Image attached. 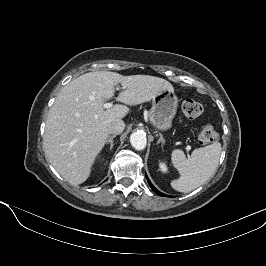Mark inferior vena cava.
Masks as SVG:
<instances>
[{
    "mask_svg": "<svg viewBox=\"0 0 266 266\" xmlns=\"http://www.w3.org/2000/svg\"><path fill=\"white\" fill-rule=\"evenodd\" d=\"M125 128V123L121 119H114L111 122H109L107 130L110 134H120L123 132Z\"/></svg>",
    "mask_w": 266,
    "mask_h": 266,
    "instance_id": "inferior-vena-cava-1",
    "label": "inferior vena cava"
}]
</instances>
